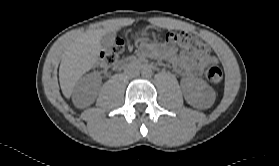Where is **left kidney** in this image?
<instances>
[{
  "label": "left kidney",
  "instance_id": "obj_1",
  "mask_svg": "<svg viewBox=\"0 0 279 166\" xmlns=\"http://www.w3.org/2000/svg\"><path fill=\"white\" fill-rule=\"evenodd\" d=\"M182 91L185 100L193 107L210 106L215 100V91L204 80L185 78L182 80Z\"/></svg>",
  "mask_w": 279,
  "mask_h": 166
}]
</instances>
